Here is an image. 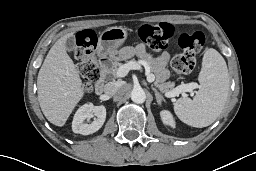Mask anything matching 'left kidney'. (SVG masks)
Masks as SVG:
<instances>
[{
  "label": "left kidney",
  "mask_w": 256,
  "mask_h": 171,
  "mask_svg": "<svg viewBox=\"0 0 256 171\" xmlns=\"http://www.w3.org/2000/svg\"><path fill=\"white\" fill-rule=\"evenodd\" d=\"M160 116L165 125L171 126L173 128L175 127V121L169 111H167V110L161 111Z\"/></svg>",
  "instance_id": "left-kidney-1"
}]
</instances>
